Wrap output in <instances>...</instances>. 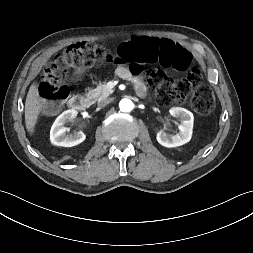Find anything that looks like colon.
Wrapping results in <instances>:
<instances>
[{"label": "colon", "instance_id": "1", "mask_svg": "<svg viewBox=\"0 0 253 253\" xmlns=\"http://www.w3.org/2000/svg\"><path fill=\"white\" fill-rule=\"evenodd\" d=\"M127 62L134 75L144 73L148 86L162 104L169 105L189 98L191 106L197 112L205 115L212 112L214 95L202 85L201 71L191 67V53L182 44L162 36L129 40L116 51L87 42L70 45L55 55L42 73L39 94L44 100V110L54 112L68 98L69 88L64 82V76L70 68L122 65ZM138 63L146 66L157 64L172 71L184 70V73L180 77L171 78L160 70L144 72Z\"/></svg>", "mask_w": 253, "mask_h": 253}]
</instances>
